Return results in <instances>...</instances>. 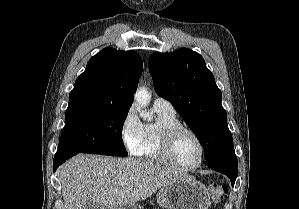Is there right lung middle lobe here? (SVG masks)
Here are the masks:
<instances>
[{
	"label": "right lung middle lobe",
	"mask_w": 299,
	"mask_h": 209,
	"mask_svg": "<svg viewBox=\"0 0 299 209\" xmlns=\"http://www.w3.org/2000/svg\"><path fill=\"white\" fill-rule=\"evenodd\" d=\"M128 111L98 105L68 106L58 150L127 156L122 127Z\"/></svg>",
	"instance_id": "right-lung-middle-lobe-1"
}]
</instances>
